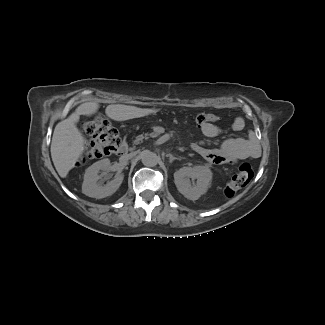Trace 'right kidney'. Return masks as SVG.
Returning <instances> with one entry per match:
<instances>
[{"mask_svg":"<svg viewBox=\"0 0 325 325\" xmlns=\"http://www.w3.org/2000/svg\"><path fill=\"white\" fill-rule=\"evenodd\" d=\"M110 168V160L102 159L92 164L84 174L82 184V193L96 199H101L115 193L123 182L124 175L117 173L115 178L106 185L101 186L97 183L100 170H108Z\"/></svg>","mask_w":325,"mask_h":325,"instance_id":"obj_1","label":"right kidney"}]
</instances>
